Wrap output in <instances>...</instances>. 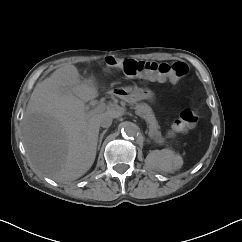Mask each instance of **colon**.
<instances>
[{
    "instance_id": "colon-1",
    "label": "colon",
    "mask_w": 242,
    "mask_h": 242,
    "mask_svg": "<svg viewBox=\"0 0 242 242\" xmlns=\"http://www.w3.org/2000/svg\"><path fill=\"white\" fill-rule=\"evenodd\" d=\"M105 67L122 70L125 74L140 80L150 81H171L179 82L188 75V66L183 62L159 63L153 61H141L134 59H123L115 56H108L102 61ZM198 121L197 113L193 109H185L175 119L171 130L183 132L193 127Z\"/></svg>"
}]
</instances>
